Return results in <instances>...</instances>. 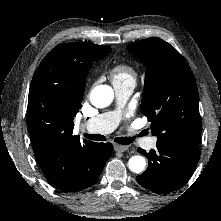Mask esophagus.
Wrapping results in <instances>:
<instances>
[{
	"label": "esophagus",
	"mask_w": 221,
	"mask_h": 221,
	"mask_svg": "<svg viewBox=\"0 0 221 221\" xmlns=\"http://www.w3.org/2000/svg\"><path fill=\"white\" fill-rule=\"evenodd\" d=\"M128 146L126 145H119V144H114V149L115 151H120V152H124L126 150H128Z\"/></svg>",
	"instance_id": "obj_1"
}]
</instances>
